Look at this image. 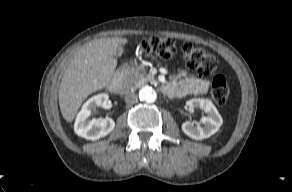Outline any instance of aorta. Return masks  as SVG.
Here are the masks:
<instances>
[{"mask_svg":"<svg viewBox=\"0 0 292 192\" xmlns=\"http://www.w3.org/2000/svg\"><path fill=\"white\" fill-rule=\"evenodd\" d=\"M139 99L144 103H153L157 99V93L152 87L144 86L139 90Z\"/></svg>","mask_w":292,"mask_h":192,"instance_id":"762f6f07","label":"aorta"}]
</instances>
